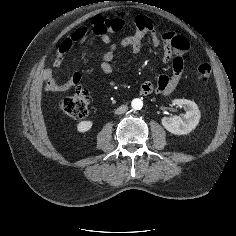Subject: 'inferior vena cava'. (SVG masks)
Wrapping results in <instances>:
<instances>
[{"label":"inferior vena cava","instance_id":"1","mask_svg":"<svg viewBox=\"0 0 236 236\" xmlns=\"http://www.w3.org/2000/svg\"><path fill=\"white\" fill-rule=\"evenodd\" d=\"M128 110V107L126 105H121L115 110V114H123Z\"/></svg>","mask_w":236,"mask_h":236}]
</instances>
